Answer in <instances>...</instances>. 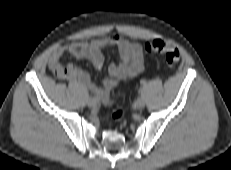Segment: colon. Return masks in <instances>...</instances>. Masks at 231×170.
Listing matches in <instances>:
<instances>
[{
    "mask_svg": "<svg viewBox=\"0 0 231 170\" xmlns=\"http://www.w3.org/2000/svg\"><path fill=\"white\" fill-rule=\"evenodd\" d=\"M145 50L148 53L163 55L168 67L171 69H174L180 61L179 51L175 47L171 46L170 44L161 39H153L148 41L145 44ZM71 71L72 66H62L54 70V73L59 78H67L70 75ZM123 116L124 111L122 109H117L113 113L112 119L113 121H117L123 118Z\"/></svg>",
    "mask_w": 231,
    "mask_h": 170,
    "instance_id": "obj_1",
    "label": "colon"
}]
</instances>
